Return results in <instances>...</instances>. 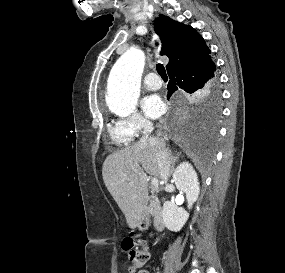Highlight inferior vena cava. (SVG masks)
<instances>
[{"label":"inferior vena cava","mask_w":285,"mask_h":273,"mask_svg":"<svg viewBox=\"0 0 285 273\" xmlns=\"http://www.w3.org/2000/svg\"><path fill=\"white\" fill-rule=\"evenodd\" d=\"M153 131V124L146 120L143 124V135L140 139L141 142H149L157 147V161L160 170V178L166 183L170 176L171 158L170 154L165 147L163 139L151 137Z\"/></svg>","instance_id":"obj_1"}]
</instances>
